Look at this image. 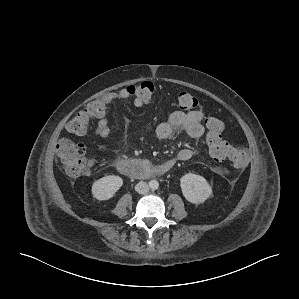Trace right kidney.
Listing matches in <instances>:
<instances>
[{
  "label": "right kidney",
  "instance_id": "obj_1",
  "mask_svg": "<svg viewBox=\"0 0 299 299\" xmlns=\"http://www.w3.org/2000/svg\"><path fill=\"white\" fill-rule=\"evenodd\" d=\"M123 185V180L119 176L109 175L100 178L92 185V195L99 201L111 199Z\"/></svg>",
  "mask_w": 299,
  "mask_h": 299
}]
</instances>
